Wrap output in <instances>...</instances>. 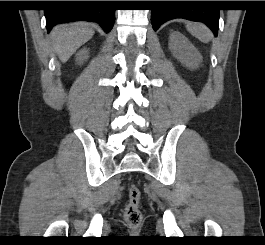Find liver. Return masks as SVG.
Returning a JSON list of instances; mask_svg holds the SVG:
<instances>
[{"label": "liver", "mask_w": 265, "mask_h": 245, "mask_svg": "<svg viewBox=\"0 0 265 245\" xmlns=\"http://www.w3.org/2000/svg\"><path fill=\"white\" fill-rule=\"evenodd\" d=\"M93 34V29L85 22L56 26L51 31L53 50L62 62H66Z\"/></svg>", "instance_id": "6515ba94"}]
</instances>
